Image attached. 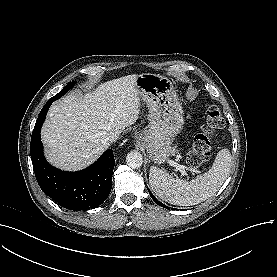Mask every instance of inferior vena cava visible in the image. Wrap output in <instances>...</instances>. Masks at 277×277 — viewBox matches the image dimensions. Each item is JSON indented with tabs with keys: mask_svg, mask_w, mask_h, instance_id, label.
<instances>
[{
	"mask_svg": "<svg viewBox=\"0 0 277 277\" xmlns=\"http://www.w3.org/2000/svg\"><path fill=\"white\" fill-rule=\"evenodd\" d=\"M118 139V135L116 133H111L106 137L107 143H112Z\"/></svg>",
	"mask_w": 277,
	"mask_h": 277,
	"instance_id": "obj_1",
	"label": "inferior vena cava"
}]
</instances>
